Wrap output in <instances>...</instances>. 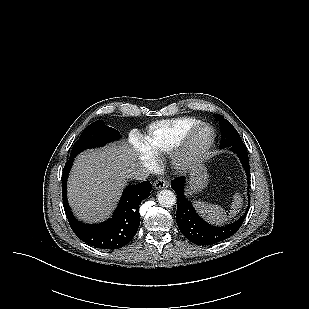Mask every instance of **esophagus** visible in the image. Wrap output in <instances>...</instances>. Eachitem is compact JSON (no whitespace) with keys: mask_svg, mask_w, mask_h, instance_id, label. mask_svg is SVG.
<instances>
[{"mask_svg":"<svg viewBox=\"0 0 309 309\" xmlns=\"http://www.w3.org/2000/svg\"><path fill=\"white\" fill-rule=\"evenodd\" d=\"M154 187L156 189H164L169 187V181L165 177H160L154 182Z\"/></svg>","mask_w":309,"mask_h":309,"instance_id":"obj_1","label":"esophagus"}]
</instances>
